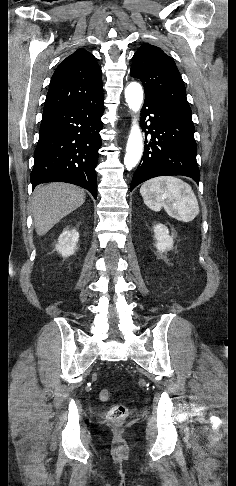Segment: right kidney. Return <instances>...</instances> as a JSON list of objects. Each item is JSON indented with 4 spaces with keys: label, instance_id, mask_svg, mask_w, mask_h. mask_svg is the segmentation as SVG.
Segmentation results:
<instances>
[{
    "label": "right kidney",
    "instance_id": "ca27d5eb",
    "mask_svg": "<svg viewBox=\"0 0 236 486\" xmlns=\"http://www.w3.org/2000/svg\"><path fill=\"white\" fill-rule=\"evenodd\" d=\"M78 240V231L75 229L70 231L65 230L60 234L57 244L55 245V250L59 252L62 257H69L75 253Z\"/></svg>",
    "mask_w": 236,
    "mask_h": 486
}]
</instances>
